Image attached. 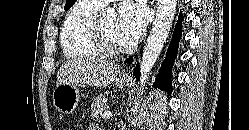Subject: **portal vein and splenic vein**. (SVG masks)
<instances>
[{
  "label": "portal vein and splenic vein",
  "instance_id": "1",
  "mask_svg": "<svg viewBox=\"0 0 249 130\" xmlns=\"http://www.w3.org/2000/svg\"><path fill=\"white\" fill-rule=\"evenodd\" d=\"M111 116H112V112H110V111H106V112H104L103 114H102V118H111Z\"/></svg>",
  "mask_w": 249,
  "mask_h": 130
}]
</instances>
